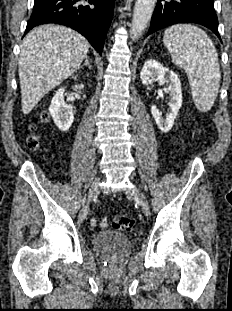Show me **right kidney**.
<instances>
[{"label":"right kidney","instance_id":"right-kidney-1","mask_svg":"<svg viewBox=\"0 0 232 311\" xmlns=\"http://www.w3.org/2000/svg\"><path fill=\"white\" fill-rule=\"evenodd\" d=\"M75 88L83 89L84 85L80 84L75 86ZM49 112L54 123L60 130H69L74 120V114L71 106L67 105L64 101V88L59 89L54 95L49 107Z\"/></svg>","mask_w":232,"mask_h":311}]
</instances>
